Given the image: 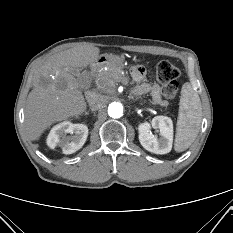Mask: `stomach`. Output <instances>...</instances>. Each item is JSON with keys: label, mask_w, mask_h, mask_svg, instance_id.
I'll return each mask as SVG.
<instances>
[{"label": "stomach", "mask_w": 233, "mask_h": 233, "mask_svg": "<svg viewBox=\"0 0 233 233\" xmlns=\"http://www.w3.org/2000/svg\"><path fill=\"white\" fill-rule=\"evenodd\" d=\"M94 66L123 67V58L115 54H105L98 57L93 63Z\"/></svg>", "instance_id": "stomach-1"}]
</instances>
